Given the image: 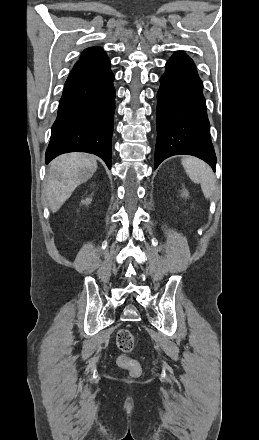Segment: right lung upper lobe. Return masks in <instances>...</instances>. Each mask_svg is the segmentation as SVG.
Returning <instances> with one entry per match:
<instances>
[{"instance_id":"1","label":"right lung upper lobe","mask_w":259,"mask_h":440,"mask_svg":"<svg viewBox=\"0 0 259 440\" xmlns=\"http://www.w3.org/2000/svg\"><path fill=\"white\" fill-rule=\"evenodd\" d=\"M103 54H106V53L101 48L90 47V48H87L86 50H84V52L81 54L79 60L93 58V57L100 56Z\"/></svg>"}]
</instances>
